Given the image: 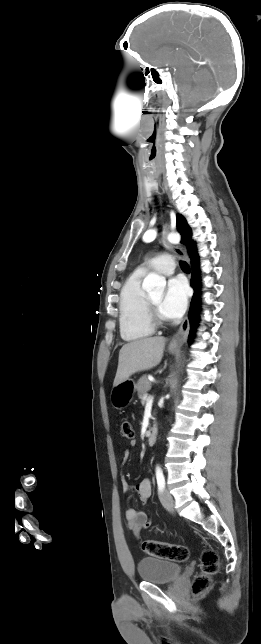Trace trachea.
Segmentation results:
<instances>
[{
    "label": "trachea",
    "mask_w": 261,
    "mask_h": 644,
    "mask_svg": "<svg viewBox=\"0 0 261 644\" xmlns=\"http://www.w3.org/2000/svg\"><path fill=\"white\" fill-rule=\"evenodd\" d=\"M180 266H181V268H182L183 270H185V271H190V267H189V265H188L186 262L181 261V262H180Z\"/></svg>",
    "instance_id": "3493384b"
}]
</instances>
